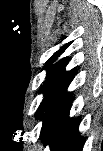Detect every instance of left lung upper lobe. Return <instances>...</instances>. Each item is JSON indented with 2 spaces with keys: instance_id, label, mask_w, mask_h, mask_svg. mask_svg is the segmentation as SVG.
Returning <instances> with one entry per match:
<instances>
[{
  "instance_id": "obj_1",
  "label": "left lung upper lobe",
  "mask_w": 103,
  "mask_h": 151,
  "mask_svg": "<svg viewBox=\"0 0 103 151\" xmlns=\"http://www.w3.org/2000/svg\"><path fill=\"white\" fill-rule=\"evenodd\" d=\"M70 43H64L62 44L58 50H56V52L53 53V55L47 60V64H50L54 59H56L60 54H62L69 46H70Z\"/></svg>"
}]
</instances>
